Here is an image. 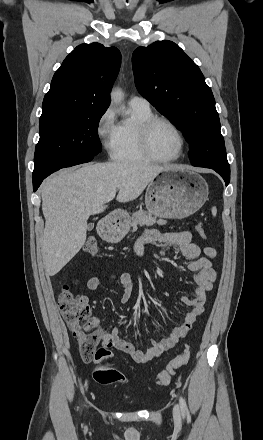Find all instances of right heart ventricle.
I'll use <instances>...</instances> for the list:
<instances>
[{"label":"right heart ventricle","instance_id":"1","mask_svg":"<svg viewBox=\"0 0 263 440\" xmlns=\"http://www.w3.org/2000/svg\"><path fill=\"white\" fill-rule=\"evenodd\" d=\"M133 116L129 120L122 121L118 125V138L112 157L121 162H141L148 161L146 156L141 152L137 127L141 121L154 116L150 107L141 108L131 106Z\"/></svg>","mask_w":263,"mask_h":440}]
</instances>
